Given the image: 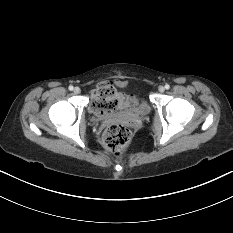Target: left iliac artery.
<instances>
[{
    "instance_id": "left-iliac-artery-1",
    "label": "left iliac artery",
    "mask_w": 233,
    "mask_h": 233,
    "mask_svg": "<svg viewBox=\"0 0 233 233\" xmlns=\"http://www.w3.org/2000/svg\"><path fill=\"white\" fill-rule=\"evenodd\" d=\"M169 88H170V85L166 84V85H165V89L168 90Z\"/></svg>"
}]
</instances>
